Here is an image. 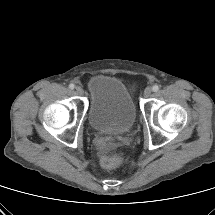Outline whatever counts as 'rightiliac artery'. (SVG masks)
Returning a JSON list of instances; mask_svg holds the SVG:
<instances>
[{"label": "right iliac artery", "mask_w": 215, "mask_h": 215, "mask_svg": "<svg viewBox=\"0 0 215 215\" xmlns=\"http://www.w3.org/2000/svg\"><path fill=\"white\" fill-rule=\"evenodd\" d=\"M69 88H70V89H74V88H75V85H74V84H70V85H69Z\"/></svg>", "instance_id": "obj_1"}]
</instances>
